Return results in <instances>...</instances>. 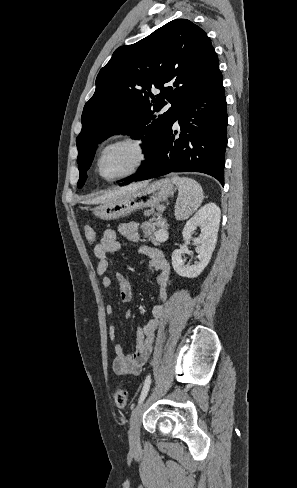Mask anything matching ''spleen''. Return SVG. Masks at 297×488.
<instances>
[{
	"mask_svg": "<svg viewBox=\"0 0 297 488\" xmlns=\"http://www.w3.org/2000/svg\"><path fill=\"white\" fill-rule=\"evenodd\" d=\"M173 183L179 190L175 206V217L185 219L202 203L203 191L199 183L193 179L174 176Z\"/></svg>",
	"mask_w": 297,
	"mask_h": 488,
	"instance_id": "3e777b00",
	"label": "spleen"
}]
</instances>
